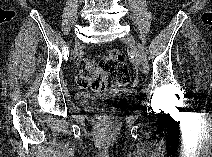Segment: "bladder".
<instances>
[{"mask_svg":"<svg viewBox=\"0 0 212 157\" xmlns=\"http://www.w3.org/2000/svg\"><path fill=\"white\" fill-rule=\"evenodd\" d=\"M134 96L131 89L109 90L104 92H83L76 97L77 103L89 111H97L103 102L124 101Z\"/></svg>","mask_w":212,"mask_h":157,"instance_id":"1","label":"bladder"}]
</instances>
